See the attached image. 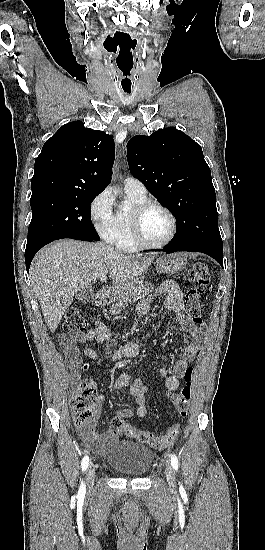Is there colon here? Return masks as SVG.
Returning <instances> with one entry per match:
<instances>
[{"mask_svg": "<svg viewBox=\"0 0 265 550\" xmlns=\"http://www.w3.org/2000/svg\"><path fill=\"white\" fill-rule=\"evenodd\" d=\"M190 287L185 296L186 312L190 320L196 325H202V297L209 282L208 266L205 263L195 264L187 275ZM87 321L79 309L70 308L66 311L63 321L65 333L83 332ZM193 368L188 367L184 373L185 385L170 397L176 412L185 417L188 413L191 400V380ZM102 402V395L95 383L90 379L81 381L78 390L71 396L70 406L73 421L77 427H87L95 421ZM110 431L113 435L127 436L137 439L141 443L153 448L164 449L171 446L180 435V426L177 423L170 425L167 432L157 436L150 431L139 430L122 417L116 416L110 422Z\"/></svg>", "mask_w": 265, "mask_h": 550, "instance_id": "colon-1", "label": "colon"}]
</instances>
